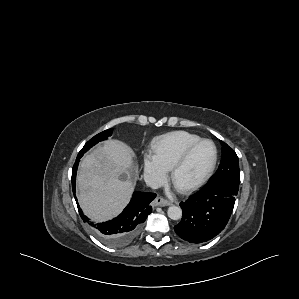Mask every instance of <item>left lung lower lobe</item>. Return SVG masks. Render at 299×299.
Listing matches in <instances>:
<instances>
[{
    "mask_svg": "<svg viewBox=\"0 0 299 299\" xmlns=\"http://www.w3.org/2000/svg\"><path fill=\"white\" fill-rule=\"evenodd\" d=\"M239 186L227 182L207 183L180 204L181 222L174 227L183 240L203 243L218 235L232 213Z\"/></svg>",
    "mask_w": 299,
    "mask_h": 299,
    "instance_id": "obj_1",
    "label": "left lung lower lobe"
}]
</instances>
